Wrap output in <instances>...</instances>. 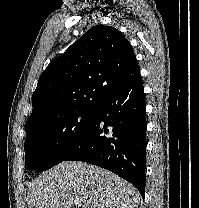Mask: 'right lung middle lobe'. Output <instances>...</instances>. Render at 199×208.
Instances as JSON below:
<instances>
[{
	"instance_id": "right-lung-middle-lobe-1",
	"label": "right lung middle lobe",
	"mask_w": 199,
	"mask_h": 208,
	"mask_svg": "<svg viewBox=\"0 0 199 208\" xmlns=\"http://www.w3.org/2000/svg\"><path fill=\"white\" fill-rule=\"evenodd\" d=\"M94 119V107L79 108L58 116L27 133L25 164L39 172L63 161L85 136Z\"/></svg>"
}]
</instances>
